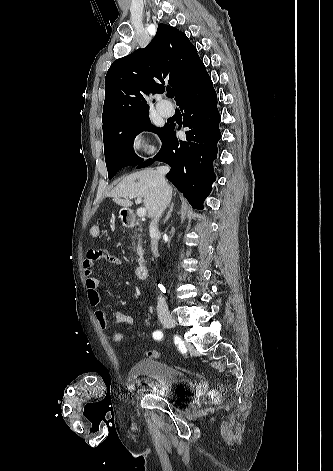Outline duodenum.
<instances>
[{"label":"duodenum","mask_w":333,"mask_h":471,"mask_svg":"<svg viewBox=\"0 0 333 471\" xmlns=\"http://www.w3.org/2000/svg\"><path fill=\"white\" fill-rule=\"evenodd\" d=\"M123 224L128 228H133L136 226V219L133 213L129 210H126L122 217ZM136 275L140 279H145L148 275V265L146 259L143 255H140L137 260Z\"/></svg>","instance_id":"duodenum-1"}]
</instances>
